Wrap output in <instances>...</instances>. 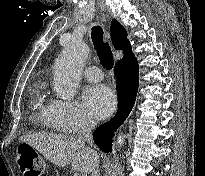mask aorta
<instances>
[{"instance_id":"obj_1","label":"aorta","mask_w":205,"mask_h":176,"mask_svg":"<svg viewBox=\"0 0 205 176\" xmlns=\"http://www.w3.org/2000/svg\"><path fill=\"white\" fill-rule=\"evenodd\" d=\"M89 54V47L83 41H71L59 54L54 65L53 90L63 98L70 100L79 87L84 63ZM125 142V135L117 137L116 147L120 149Z\"/></svg>"}]
</instances>
